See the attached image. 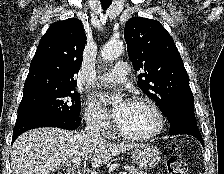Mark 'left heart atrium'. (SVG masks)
Listing matches in <instances>:
<instances>
[{"instance_id":"1","label":"left heart atrium","mask_w":224,"mask_h":174,"mask_svg":"<svg viewBox=\"0 0 224 174\" xmlns=\"http://www.w3.org/2000/svg\"><path fill=\"white\" fill-rule=\"evenodd\" d=\"M101 100H102L103 103H106L108 101V96L101 95ZM127 104L128 103H123L118 108L111 111L110 115L117 125L120 123V121L123 117V114H124V111H125V108H126Z\"/></svg>"}]
</instances>
